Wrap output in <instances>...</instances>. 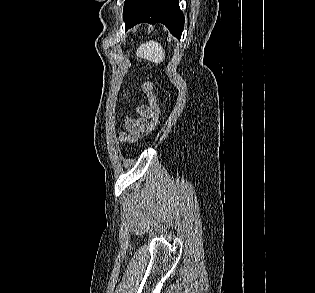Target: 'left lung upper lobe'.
Returning <instances> with one entry per match:
<instances>
[{"mask_svg": "<svg viewBox=\"0 0 315 293\" xmlns=\"http://www.w3.org/2000/svg\"><path fill=\"white\" fill-rule=\"evenodd\" d=\"M139 1L140 0H126L123 15L126 16L138 4Z\"/></svg>", "mask_w": 315, "mask_h": 293, "instance_id": "obj_1", "label": "left lung upper lobe"}]
</instances>
